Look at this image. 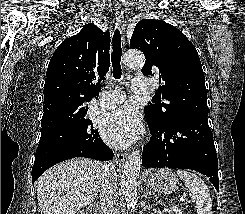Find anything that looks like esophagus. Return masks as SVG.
I'll use <instances>...</instances> for the list:
<instances>
[{"label":"esophagus","instance_id":"1","mask_svg":"<svg viewBox=\"0 0 245 214\" xmlns=\"http://www.w3.org/2000/svg\"><path fill=\"white\" fill-rule=\"evenodd\" d=\"M114 11H115V14L121 24V33H122V42H123V45L125 44V35H124V32H125V21H124V11L122 9V7L120 5H115L114 7ZM128 154L127 153H118L117 154V158L116 160L118 162H123L125 161V159L127 158Z\"/></svg>","mask_w":245,"mask_h":214}]
</instances>
